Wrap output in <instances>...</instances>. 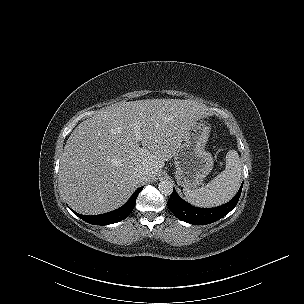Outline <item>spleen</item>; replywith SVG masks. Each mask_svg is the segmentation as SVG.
Wrapping results in <instances>:
<instances>
[{
  "label": "spleen",
  "instance_id": "obj_1",
  "mask_svg": "<svg viewBox=\"0 0 304 304\" xmlns=\"http://www.w3.org/2000/svg\"><path fill=\"white\" fill-rule=\"evenodd\" d=\"M242 177V163L237 151L230 150L226 155V167L205 187L183 188V193L193 205L213 207L229 201L238 191Z\"/></svg>",
  "mask_w": 304,
  "mask_h": 304
}]
</instances>
